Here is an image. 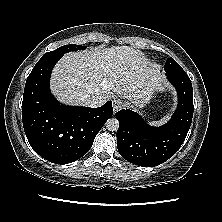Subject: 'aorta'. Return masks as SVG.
<instances>
[{"label":"aorta","instance_id":"1","mask_svg":"<svg viewBox=\"0 0 222 222\" xmlns=\"http://www.w3.org/2000/svg\"><path fill=\"white\" fill-rule=\"evenodd\" d=\"M109 131H117L119 129V121L116 118H110L106 122Z\"/></svg>","mask_w":222,"mask_h":222}]
</instances>
